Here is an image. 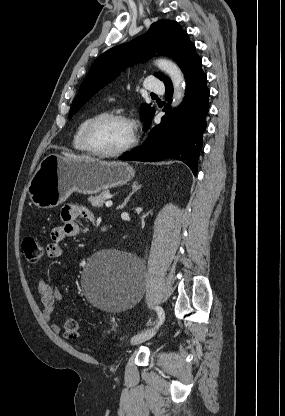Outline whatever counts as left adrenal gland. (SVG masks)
Segmentation results:
<instances>
[{
    "mask_svg": "<svg viewBox=\"0 0 285 416\" xmlns=\"http://www.w3.org/2000/svg\"><path fill=\"white\" fill-rule=\"evenodd\" d=\"M140 188H141V184L139 186V182H133L132 192H130L129 196H127V198H125L123 204H121V206H120V210H123L124 206H126L127 202H129L132 194H134V192H137V190H140Z\"/></svg>",
    "mask_w": 285,
    "mask_h": 416,
    "instance_id": "obj_1",
    "label": "left adrenal gland"
}]
</instances>
